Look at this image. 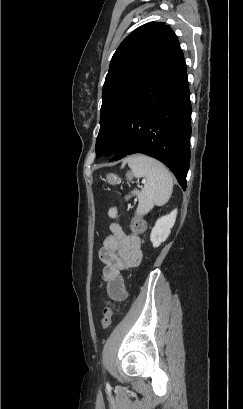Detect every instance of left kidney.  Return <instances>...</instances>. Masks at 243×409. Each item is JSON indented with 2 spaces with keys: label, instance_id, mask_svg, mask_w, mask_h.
<instances>
[{
  "label": "left kidney",
  "instance_id": "1",
  "mask_svg": "<svg viewBox=\"0 0 243 409\" xmlns=\"http://www.w3.org/2000/svg\"><path fill=\"white\" fill-rule=\"evenodd\" d=\"M176 216L177 209L173 210L168 215L162 216L156 221L155 226L153 227L150 234V240L153 244V247L160 246V244L168 238L171 232V228L174 226V223L176 221Z\"/></svg>",
  "mask_w": 243,
  "mask_h": 409
}]
</instances>
